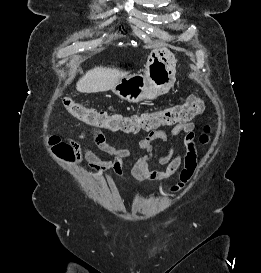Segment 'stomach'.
Listing matches in <instances>:
<instances>
[{
  "mask_svg": "<svg viewBox=\"0 0 261 273\" xmlns=\"http://www.w3.org/2000/svg\"><path fill=\"white\" fill-rule=\"evenodd\" d=\"M176 59L166 48L153 49L143 74L122 77L112 88L120 98L137 103L168 93L175 83Z\"/></svg>",
  "mask_w": 261,
  "mask_h": 273,
  "instance_id": "0dacf381",
  "label": "stomach"
}]
</instances>
